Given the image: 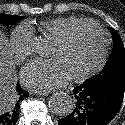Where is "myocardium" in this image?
<instances>
[{
	"label": "myocardium",
	"instance_id": "1",
	"mask_svg": "<svg viewBox=\"0 0 125 125\" xmlns=\"http://www.w3.org/2000/svg\"><path fill=\"white\" fill-rule=\"evenodd\" d=\"M85 26H93V27L97 28L104 37V44H103L101 56H100L97 64L92 69H90L89 71H87L83 74H78V75L72 76V78L77 82H83V81L90 79L91 77L98 74L105 66L108 56H109V50H110V44H111V38H110V34H109L108 30L103 25H101L99 22H97L95 20H91V19H86L84 21H81L77 24L70 26L66 31H64L59 37H57L54 40V42H56L58 44H64L68 40H70V38L73 36V34L78 29L85 27Z\"/></svg>",
	"mask_w": 125,
	"mask_h": 125
}]
</instances>
